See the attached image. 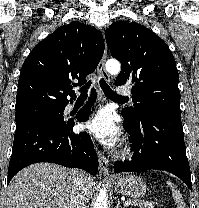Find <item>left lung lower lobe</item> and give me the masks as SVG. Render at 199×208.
I'll return each instance as SVG.
<instances>
[{"mask_svg": "<svg viewBox=\"0 0 199 208\" xmlns=\"http://www.w3.org/2000/svg\"><path fill=\"white\" fill-rule=\"evenodd\" d=\"M123 117V127L130 134L135 154L131 161L116 162L115 172L165 170L178 176L192 190L181 113H146L139 122Z\"/></svg>", "mask_w": 199, "mask_h": 208, "instance_id": "0a47b994", "label": "left lung lower lobe"}]
</instances>
